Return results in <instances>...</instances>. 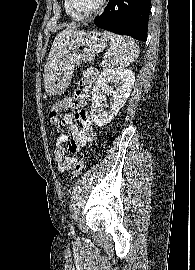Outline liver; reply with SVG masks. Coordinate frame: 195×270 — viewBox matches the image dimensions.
<instances>
[{
    "instance_id": "1",
    "label": "liver",
    "mask_w": 195,
    "mask_h": 270,
    "mask_svg": "<svg viewBox=\"0 0 195 270\" xmlns=\"http://www.w3.org/2000/svg\"><path fill=\"white\" fill-rule=\"evenodd\" d=\"M76 31V27H72V28H67L63 31H61L54 39V42L52 44V47H51V51L49 53V56H48V60L50 61L53 57H54V54L56 52V49H57V46H58V41L65 35H69L73 32Z\"/></svg>"
}]
</instances>
